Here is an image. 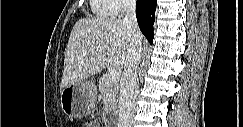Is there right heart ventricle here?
<instances>
[{"mask_svg": "<svg viewBox=\"0 0 243 127\" xmlns=\"http://www.w3.org/2000/svg\"><path fill=\"white\" fill-rule=\"evenodd\" d=\"M92 10L97 17L108 18L112 16V3L109 0H94Z\"/></svg>", "mask_w": 243, "mask_h": 127, "instance_id": "1", "label": "right heart ventricle"}]
</instances>
